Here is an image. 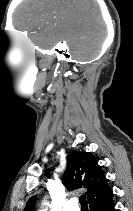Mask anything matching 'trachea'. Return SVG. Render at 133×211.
Segmentation results:
<instances>
[{"mask_svg": "<svg viewBox=\"0 0 133 211\" xmlns=\"http://www.w3.org/2000/svg\"><path fill=\"white\" fill-rule=\"evenodd\" d=\"M79 202L81 204V207L82 209H87V202H86V196L85 195H82L80 198H79Z\"/></svg>", "mask_w": 133, "mask_h": 211, "instance_id": "1", "label": "trachea"}]
</instances>
